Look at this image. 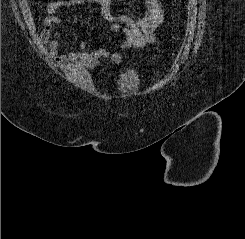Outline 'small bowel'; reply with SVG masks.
<instances>
[{
	"label": "small bowel",
	"instance_id": "c3829d8e",
	"mask_svg": "<svg viewBox=\"0 0 245 239\" xmlns=\"http://www.w3.org/2000/svg\"><path fill=\"white\" fill-rule=\"evenodd\" d=\"M113 1L125 3L127 0H56L47 6V16L44 21L43 35L47 36L52 26H61L62 18L58 14L63 7L80 6L84 3H94L101 8L104 18L111 23V32H122L124 41L122 49H141L154 42V30L160 26L164 18V9L160 0H144L146 12L142 16L133 18L128 15H116L111 10ZM59 33L50 43V56L59 63H68L76 68L95 69L100 60L106 55L105 49L95 51L86 50V42H81L76 52L64 55L57 51ZM122 53L111 56V63L118 64Z\"/></svg>",
	"mask_w": 245,
	"mask_h": 239
}]
</instances>
